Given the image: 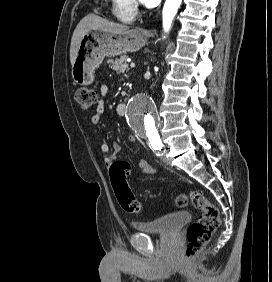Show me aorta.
<instances>
[{"mask_svg": "<svg viewBox=\"0 0 272 282\" xmlns=\"http://www.w3.org/2000/svg\"><path fill=\"white\" fill-rule=\"evenodd\" d=\"M182 0H166L162 18L163 30L168 33L172 21L177 14ZM126 119L129 127L138 135L148 139H158L157 109L151 98L145 92L134 95L128 103Z\"/></svg>", "mask_w": 272, "mask_h": 282, "instance_id": "1", "label": "aorta"}]
</instances>
